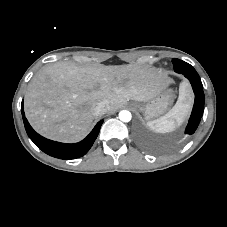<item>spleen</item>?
Listing matches in <instances>:
<instances>
[{"instance_id":"spleen-1","label":"spleen","mask_w":227,"mask_h":227,"mask_svg":"<svg viewBox=\"0 0 227 227\" xmlns=\"http://www.w3.org/2000/svg\"><path fill=\"white\" fill-rule=\"evenodd\" d=\"M189 109L187 92L185 88L180 91V96L174 107L159 119L147 122V126L158 133H168L180 125Z\"/></svg>"}]
</instances>
